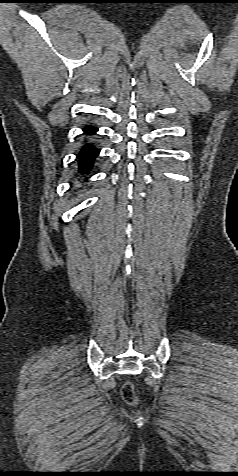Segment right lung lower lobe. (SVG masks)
Here are the masks:
<instances>
[{
  "label": "right lung lower lobe",
  "mask_w": 238,
  "mask_h": 476,
  "mask_svg": "<svg viewBox=\"0 0 238 476\" xmlns=\"http://www.w3.org/2000/svg\"><path fill=\"white\" fill-rule=\"evenodd\" d=\"M98 131L97 127L93 125H86L83 129L84 136H93ZM100 150L95 145L84 139V144L78 153V172L81 174H89L93 168L96 157L99 155Z\"/></svg>",
  "instance_id": "98d812e1"
}]
</instances>
